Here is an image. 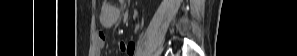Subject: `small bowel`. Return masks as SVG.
Here are the masks:
<instances>
[{
    "label": "small bowel",
    "mask_w": 297,
    "mask_h": 56,
    "mask_svg": "<svg viewBox=\"0 0 297 56\" xmlns=\"http://www.w3.org/2000/svg\"><path fill=\"white\" fill-rule=\"evenodd\" d=\"M125 0H118L117 3L113 2H107L104 3L101 7L100 12V21L105 27H111L113 26L121 13L122 7L125 5ZM106 46V36L104 33L98 34V54H100V51L104 49ZM119 48L121 51L127 52L128 54H131L133 52L134 46L132 44H126L125 42L119 43Z\"/></svg>",
    "instance_id": "1"
}]
</instances>
